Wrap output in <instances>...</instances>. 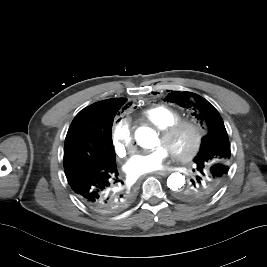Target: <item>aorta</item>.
<instances>
[{"mask_svg": "<svg viewBox=\"0 0 267 267\" xmlns=\"http://www.w3.org/2000/svg\"><path fill=\"white\" fill-rule=\"evenodd\" d=\"M135 139L140 146L149 149L155 147L158 136L156 132L149 127H139L135 131ZM185 182L184 175L181 173H172L167 179V186L172 191H178L184 188Z\"/></svg>", "mask_w": 267, "mask_h": 267, "instance_id": "obj_1", "label": "aorta"}]
</instances>
